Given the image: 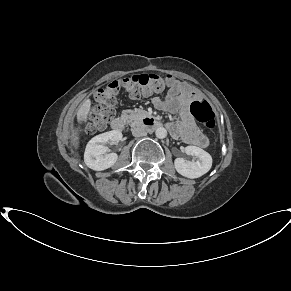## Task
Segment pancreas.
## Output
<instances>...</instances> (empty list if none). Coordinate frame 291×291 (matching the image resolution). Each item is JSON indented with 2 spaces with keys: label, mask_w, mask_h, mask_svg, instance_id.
I'll use <instances>...</instances> for the list:
<instances>
[{
  "label": "pancreas",
  "mask_w": 291,
  "mask_h": 291,
  "mask_svg": "<svg viewBox=\"0 0 291 291\" xmlns=\"http://www.w3.org/2000/svg\"><path fill=\"white\" fill-rule=\"evenodd\" d=\"M147 116L148 112L142 109L124 110L122 112V117L127 119L130 126L139 124Z\"/></svg>",
  "instance_id": "obj_1"
}]
</instances>
